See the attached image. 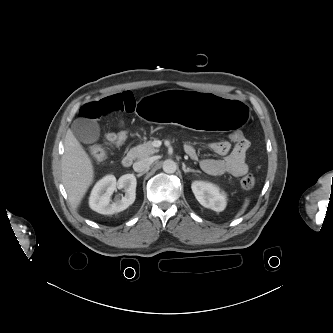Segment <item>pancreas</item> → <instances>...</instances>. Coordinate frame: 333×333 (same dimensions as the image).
I'll return each instance as SVG.
<instances>
[{
  "mask_svg": "<svg viewBox=\"0 0 333 333\" xmlns=\"http://www.w3.org/2000/svg\"><path fill=\"white\" fill-rule=\"evenodd\" d=\"M158 151L159 150L157 148L153 147L152 142L148 141V142H145L141 145H138V146L130 149L128 154L133 159L140 160V159L147 158Z\"/></svg>",
  "mask_w": 333,
  "mask_h": 333,
  "instance_id": "1",
  "label": "pancreas"
}]
</instances>
